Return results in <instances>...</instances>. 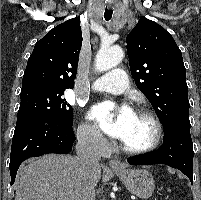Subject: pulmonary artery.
<instances>
[{"label":"pulmonary artery","instance_id":"pulmonary-artery-1","mask_svg":"<svg viewBox=\"0 0 201 200\" xmlns=\"http://www.w3.org/2000/svg\"><path fill=\"white\" fill-rule=\"evenodd\" d=\"M129 87L126 73L122 69H114L97 79L93 89L99 92L120 94Z\"/></svg>","mask_w":201,"mask_h":200}]
</instances>
